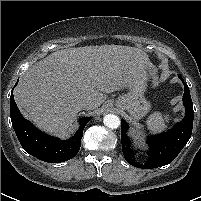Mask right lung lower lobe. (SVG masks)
<instances>
[{"mask_svg":"<svg viewBox=\"0 0 201 201\" xmlns=\"http://www.w3.org/2000/svg\"><path fill=\"white\" fill-rule=\"evenodd\" d=\"M10 116L22 148L30 155L48 163L67 161L79 152L83 129L91 119V117L81 118L80 127L74 136L68 140H60L43 133L21 115L14 101L13 91L10 97Z\"/></svg>","mask_w":201,"mask_h":201,"instance_id":"1","label":"right lung lower lobe"}]
</instances>
